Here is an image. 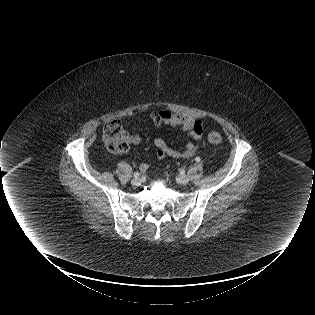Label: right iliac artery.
<instances>
[{"instance_id": "right-iliac-artery-1", "label": "right iliac artery", "mask_w": 315, "mask_h": 315, "mask_svg": "<svg viewBox=\"0 0 315 315\" xmlns=\"http://www.w3.org/2000/svg\"><path fill=\"white\" fill-rule=\"evenodd\" d=\"M133 176H134V178H138L140 176V173L138 171H136Z\"/></svg>"}]
</instances>
